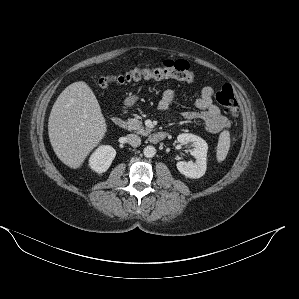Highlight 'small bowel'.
I'll return each mask as SVG.
<instances>
[{
  "mask_svg": "<svg viewBox=\"0 0 299 299\" xmlns=\"http://www.w3.org/2000/svg\"><path fill=\"white\" fill-rule=\"evenodd\" d=\"M213 95L214 91L211 87H204L195 102L198 110L186 111L183 116L188 120L202 121L208 132L216 134L228 129L230 121L221 114L219 106L213 101ZM175 97V92L172 89L164 90L158 101V108L163 111L169 109Z\"/></svg>",
  "mask_w": 299,
  "mask_h": 299,
  "instance_id": "c3829d8e",
  "label": "small bowel"
}]
</instances>
